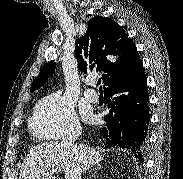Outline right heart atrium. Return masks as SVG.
<instances>
[{"mask_svg":"<svg viewBox=\"0 0 183 179\" xmlns=\"http://www.w3.org/2000/svg\"><path fill=\"white\" fill-rule=\"evenodd\" d=\"M74 104L56 92L42 98L31 120V130L43 139L57 140L80 131Z\"/></svg>","mask_w":183,"mask_h":179,"instance_id":"obj_1","label":"right heart atrium"}]
</instances>
